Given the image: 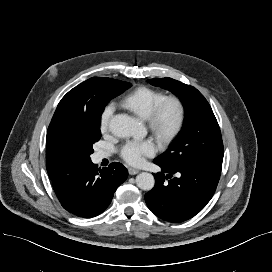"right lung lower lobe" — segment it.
Wrapping results in <instances>:
<instances>
[{
  "mask_svg": "<svg viewBox=\"0 0 272 272\" xmlns=\"http://www.w3.org/2000/svg\"><path fill=\"white\" fill-rule=\"evenodd\" d=\"M127 176V169L119 162L101 170L90 160L77 163L70 173L52 183L64 209L76 216L91 218L108 207Z\"/></svg>",
  "mask_w": 272,
  "mask_h": 272,
  "instance_id": "obj_1",
  "label": "right lung lower lobe"
}]
</instances>
